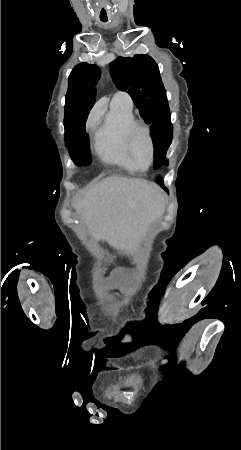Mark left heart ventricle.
<instances>
[{"mask_svg": "<svg viewBox=\"0 0 241 450\" xmlns=\"http://www.w3.org/2000/svg\"><path fill=\"white\" fill-rule=\"evenodd\" d=\"M144 139H145V137H144ZM138 146H137V151L139 152V153H144L145 151H146V146L144 145V144H137ZM145 161V160H144Z\"/></svg>", "mask_w": 241, "mask_h": 450, "instance_id": "1", "label": "left heart ventricle"}]
</instances>
